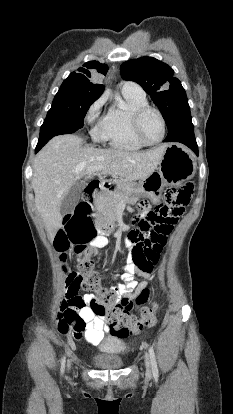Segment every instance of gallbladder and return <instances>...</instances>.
<instances>
[{"label":"gallbladder","mask_w":233,"mask_h":414,"mask_svg":"<svg viewBox=\"0 0 233 414\" xmlns=\"http://www.w3.org/2000/svg\"><path fill=\"white\" fill-rule=\"evenodd\" d=\"M83 186H84L83 183H80V184L76 183L72 185L67 196L62 201V204L60 207L61 214L63 216L67 214H71L74 211L75 207L77 206L79 202V195L82 191Z\"/></svg>","instance_id":"obj_1"}]
</instances>
